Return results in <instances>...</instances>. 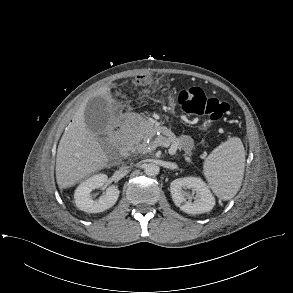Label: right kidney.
Masks as SVG:
<instances>
[{"instance_id": "right-kidney-1", "label": "right kidney", "mask_w": 293, "mask_h": 293, "mask_svg": "<svg viewBox=\"0 0 293 293\" xmlns=\"http://www.w3.org/2000/svg\"><path fill=\"white\" fill-rule=\"evenodd\" d=\"M106 174H97L83 181L75 190L74 199L78 209L87 213H99L111 208L119 197V189L116 186L106 188V193L97 200L91 198V192L96 188L107 185Z\"/></svg>"}]
</instances>
